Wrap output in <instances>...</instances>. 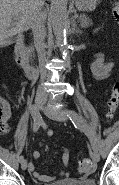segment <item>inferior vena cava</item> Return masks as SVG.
Here are the masks:
<instances>
[{
  "label": "inferior vena cava",
  "mask_w": 119,
  "mask_h": 185,
  "mask_svg": "<svg viewBox=\"0 0 119 185\" xmlns=\"http://www.w3.org/2000/svg\"><path fill=\"white\" fill-rule=\"evenodd\" d=\"M46 13L42 9H38L34 15V19L31 25L35 47L38 53L39 69L41 74V80L44 81L49 78V73L45 69V64L47 62L46 51L44 40L46 38V28H45ZM36 97L39 99L46 100L48 94L43 86H39L37 89Z\"/></svg>",
  "instance_id": "602c4592"
}]
</instances>
